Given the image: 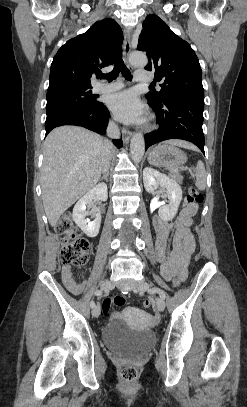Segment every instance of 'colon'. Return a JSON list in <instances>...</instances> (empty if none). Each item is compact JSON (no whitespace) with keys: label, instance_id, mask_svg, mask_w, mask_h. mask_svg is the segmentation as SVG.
<instances>
[{"label":"colon","instance_id":"obj_1","mask_svg":"<svg viewBox=\"0 0 247 407\" xmlns=\"http://www.w3.org/2000/svg\"><path fill=\"white\" fill-rule=\"evenodd\" d=\"M187 200L192 204L203 202V195L196 188L191 187L188 191ZM56 233L61 237V262L64 265L83 266L89 261L88 242L77 231L68 214L64 215L55 226ZM175 287L181 284L180 278L172 281ZM125 298L122 295H115L105 299L103 303V313L108 316L112 306H122ZM151 306L149 300L144 301V307ZM121 376L126 382H133L138 377V370L133 365H124L121 369Z\"/></svg>","mask_w":247,"mask_h":407}]
</instances>
